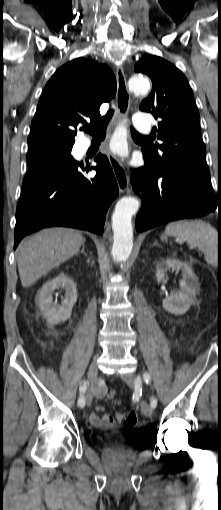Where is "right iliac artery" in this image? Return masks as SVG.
I'll use <instances>...</instances> for the list:
<instances>
[{
	"mask_svg": "<svg viewBox=\"0 0 221 510\" xmlns=\"http://www.w3.org/2000/svg\"><path fill=\"white\" fill-rule=\"evenodd\" d=\"M86 389H87V381H82L80 383V397L78 399V406L80 408H83L85 406V398H84V394L86 392Z\"/></svg>",
	"mask_w": 221,
	"mask_h": 510,
	"instance_id": "obj_1",
	"label": "right iliac artery"
}]
</instances>
